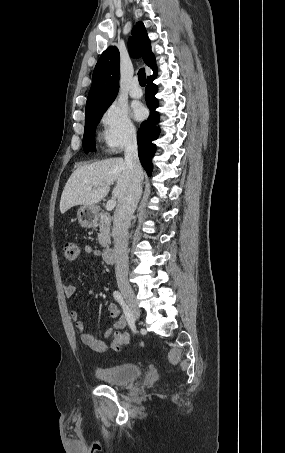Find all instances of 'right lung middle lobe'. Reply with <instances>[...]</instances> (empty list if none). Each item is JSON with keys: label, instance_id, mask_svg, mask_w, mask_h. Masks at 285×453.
<instances>
[{"label": "right lung middle lobe", "instance_id": "1", "mask_svg": "<svg viewBox=\"0 0 285 453\" xmlns=\"http://www.w3.org/2000/svg\"><path fill=\"white\" fill-rule=\"evenodd\" d=\"M108 107L109 106L85 115V131L83 137V148L85 153L95 151V128Z\"/></svg>", "mask_w": 285, "mask_h": 453}]
</instances>
